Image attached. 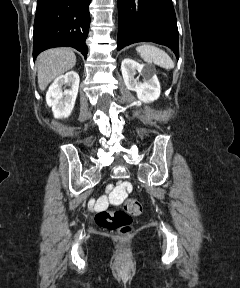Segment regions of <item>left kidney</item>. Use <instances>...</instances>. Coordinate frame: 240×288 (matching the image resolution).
<instances>
[{"instance_id": "1", "label": "left kidney", "mask_w": 240, "mask_h": 288, "mask_svg": "<svg viewBox=\"0 0 240 288\" xmlns=\"http://www.w3.org/2000/svg\"><path fill=\"white\" fill-rule=\"evenodd\" d=\"M121 72L127 89L135 91L140 101L150 103L159 98L160 83L153 68L126 58L121 63ZM137 72L143 76L142 81L135 78Z\"/></svg>"}]
</instances>
